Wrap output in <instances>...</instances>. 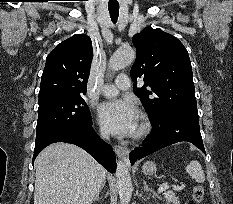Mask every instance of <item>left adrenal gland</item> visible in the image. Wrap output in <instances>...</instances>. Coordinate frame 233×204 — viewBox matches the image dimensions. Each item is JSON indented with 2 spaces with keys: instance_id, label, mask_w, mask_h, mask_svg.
<instances>
[{
  "instance_id": "obj_1",
  "label": "left adrenal gland",
  "mask_w": 233,
  "mask_h": 204,
  "mask_svg": "<svg viewBox=\"0 0 233 204\" xmlns=\"http://www.w3.org/2000/svg\"><path fill=\"white\" fill-rule=\"evenodd\" d=\"M143 184H144V190L145 191H151L153 192L150 188H148L147 184L145 183V181H143ZM153 196L157 197V198H160L155 192H153Z\"/></svg>"
}]
</instances>
